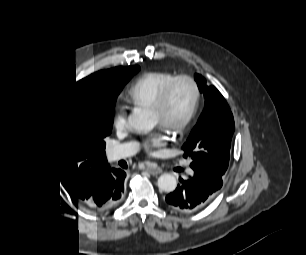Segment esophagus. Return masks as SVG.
<instances>
[{
  "label": "esophagus",
  "mask_w": 306,
  "mask_h": 255,
  "mask_svg": "<svg viewBox=\"0 0 306 255\" xmlns=\"http://www.w3.org/2000/svg\"><path fill=\"white\" fill-rule=\"evenodd\" d=\"M146 170L153 175H157L162 172V169L155 163H148L146 165Z\"/></svg>",
  "instance_id": "esophagus-1"
}]
</instances>
